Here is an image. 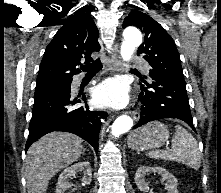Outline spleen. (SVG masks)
<instances>
[{
  "mask_svg": "<svg viewBox=\"0 0 221 193\" xmlns=\"http://www.w3.org/2000/svg\"><path fill=\"white\" fill-rule=\"evenodd\" d=\"M150 158L181 162L191 168L199 169L201 156L196 139L182 126H175L170 151H151Z\"/></svg>",
  "mask_w": 221,
  "mask_h": 193,
  "instance_id": "obj_1",
  "label": "spleen"
}]
</instances>
